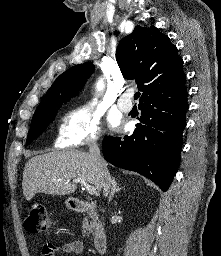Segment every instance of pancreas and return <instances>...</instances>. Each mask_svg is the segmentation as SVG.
<instances>
[{
    "instance_id": "1",
    "label": "pancreas",
    "mask_w": 221,
    "mask_h": 256,
    "mask_svg": "<svg viewBox=\"0 0 221 256\" xmlns=\"http://www.w3.org/2000/svg\"><path fill=\"white\" fill-rule=\"evenodd\" d=\"M96 222H91L87 217L84 218L83 220V234L88 235L92 229L95 227Z\"/></svg>"
}]
</instances>
